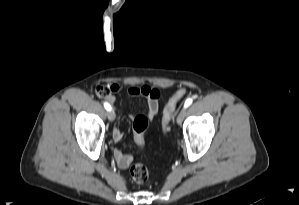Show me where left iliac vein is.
I'll return each instance as SVG.
<instances>
[{
  "label": "left iliac vein",
  "instance_id": "left-iliac-vein-1",
  "mask_svg": "<svg viewBox=\"0 0 299 205\" xmlns=\"http://www.w3.org/2000/svg\"><path fill=\"white\" fill-rule=\"evenodd\" d=\"M184 112H185V108L183 107V108L180 110V112H179V114H178V116H177V123H178V124L181 123Z\"/></svg>",
  "mask_w": 299,
  "mask_h": 205
}]
</instances>
